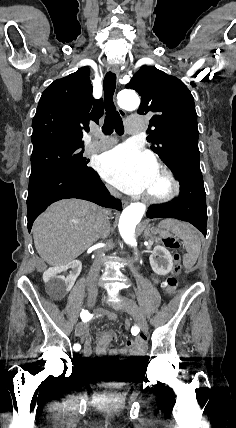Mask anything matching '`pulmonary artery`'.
<instances>
[{"label":"pulmonary artery","mask_w":236,"mask_h":428,"mask_svg":"<svg viewBox=\"0 0 236 428\" xmlns=\"http://www.w3.org/2000/svg\"><path fill=\"white\" fill-rule=\"evenodd\" d=\"M116 142V139H113L110 142H102L95 139L88 143V145L86 146V151L88 153H100L110 148Z\"/></svg>","instance_id":"obj_1"}]
</instances>
